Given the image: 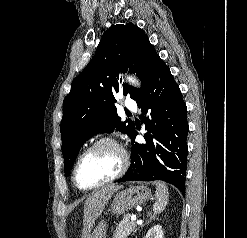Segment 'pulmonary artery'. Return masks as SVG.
Masks as SVG:
<instances>
[{"label":"pulmonary artery","mask_w":247,"mask_h":238,"mask_svg":"<svg viewBox=\"0 0 247 238\" xmlns=\"http://www.w3.org/2000/svg\"><path fill=\"white\" fill-rule=\"evenodd\" d=\"M125 106H126L128 109L132 110V111H136V110H137V105H136V103H135L133 100H131V99H127V100L125 101Z\"/></svg>","instance_id":"e3ab8cb5"}]
</instances>
